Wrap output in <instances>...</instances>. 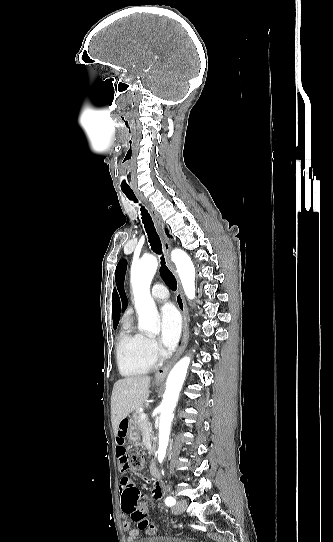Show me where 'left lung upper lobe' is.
Here are the masks:
<instances>
[{
  "label": "left lung upper lobe",
  "mask_w": 333,
  "mask_h": 542,
  "mask_svg": "<svg viewBox=\"0 0 333 542\" xmlns=\"http://www.w3.org/2000/svg\"><path fill=\"white\" fill-rule=\"evenodd\" d=\"M165 231L167 235L169 236L168 230L166 229ZM126 268H127V261L125 259H121L116 267V272H115L116 284L118 286V289L123 301V309H122L123 311L125 310L127 306V298H126L124 287H123Z\"/></svg>",
  "instance_id": "obj_1"
}]
</instances>
